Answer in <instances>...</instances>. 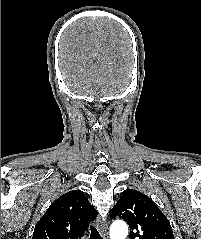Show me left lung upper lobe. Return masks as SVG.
<instances>
[{"label": "left lung upper lobe", "instance_id": "left-lung-upper-lobe-1", "mask_svg": "<svg viewBox=\"0 0 201 239\" xmlns=\"http://www.w3.org/2000/svg\"><path fill=\"white\" fill-rule=\"evenodd\" d=\"M109 215L122 217L128 223L130 239H175L166 216L147 195L137 190L123 191Z\"/></svg>", "mask_w": 201, "mask_h": 239}]
</instances>
